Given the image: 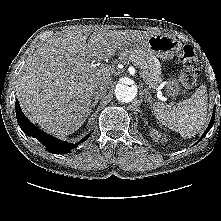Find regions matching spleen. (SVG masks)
Segmentation results:
<instances>
[{
    "label": "spleen",
    "instance_id": "3e777b00",
    "mask_svg": "<svg viewBox=\"0 0 221 221\" xmlns=\"http://www.w3.org/2000/svg\"><path fill=\"white\" fill-rule=\"evenodd\" d=\"M153 110L156 118L169 129L182 137H194L207 121L206 87L200 86L189 99L174 106L155 103Z\"/></svg>",
    "mask_w": 221,
    "mask_h": 221
}]
</instances>
